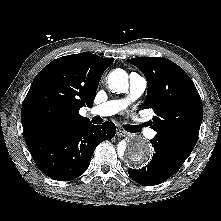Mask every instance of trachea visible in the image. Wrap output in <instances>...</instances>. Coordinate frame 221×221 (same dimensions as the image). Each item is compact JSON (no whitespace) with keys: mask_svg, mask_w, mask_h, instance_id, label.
I'll return each mask as SVG.
<instances>
[{"mask_svg":"<svg viewBox=\"0 0 221 221\" xmlns=\"http://www.w3.org/2000/svg\"><path fill=\"white\" fill-rule=\"evenodd\" d=\"M93 122L95 124H99L100 120L97 117L93 118ZM129 130L130 132H138L139 131V127L137 125H129Z\"/></svg>","mask_w":221,"mask_h":221,"instance_id":"trachea-1","label":"trachea"}]
</instances>
